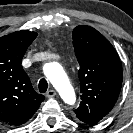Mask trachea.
Returning a JSON list of instances; mask_svg holds the SVG:
<instances>
[{"label":"trachea","mask_w":133,"mask_h":133,"mask_svg":"<svg viewBox=\"0 0 133 133\" xmlns=\"http://www.w3.org/2000/svg\"><path fill=\"white\" fill-rule=\"evenodd\" d=\"M38 88H39V91L41 93H45L47 91V89H48V82H47V80L46 79H41L39 81Z\"/></svg>","instance_id":"obj_1"}]
</instances>
